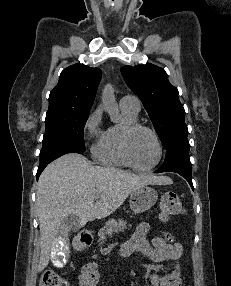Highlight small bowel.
Segmentation results:
<instances>
[{"label":"small bowel","mask_w":231,"mask_h":286,"mask_svg":"<svg viewBox=\"0 0 231 286\" xmlns=\"http://www.w3.org/2000/svg\"><path fill=\"white\" fill-rule=\"evenodd\" d=\"M150 222L141 223L132 237L121 245L118 254L128 256L136 252L145 254L153 263H173L172 271L166 275L152 274L150 283L152 286H180L182 283V271L178 260L182 256L183 247L175 241L174 237L165 231L161 236L153 237L152 241L147 240L151 230ZM100 272L95 263H87L78 277L79 286H96L100 280Z\"/></svg>","instance_id":"small-bowel-1"}]
</instances>
